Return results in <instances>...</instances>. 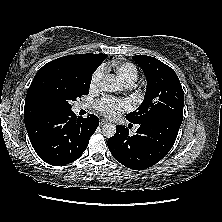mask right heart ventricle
<instances>
[{"label":"right heart ventricle","instance_id":"obj_1","mask_svg":"<svg viewBox=\"0 0 222 222\" xmlns=\"http://www.w3.org/2000/svg\"><path fill=\"white\" fill-rule=\"evenodd\" d=\"M116 78L124 85H132L138 78V69L131 62H112Z\"/></svg>","mask_w":222,"mask_h":222}]
</instances>
